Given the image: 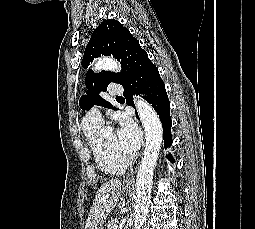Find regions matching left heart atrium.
Wrapping results in <instances>:
<instances>
[{"instance_id":"left-heart-atrium-1","label":"left heart atrium","mask_w":255,"mask_h":229,"mask_svg":"<svg viewBox=\"0 0 255 229\" xmlns=\"http://www.w3.org/2000/svg\"><path fill=\"white\" fill-rule=\"evenodd\" d=\"M118 141L126 154L133 155L140 146L141 132L131 120L122 118L118 126Z\"/></svg>"}]
</instances>
